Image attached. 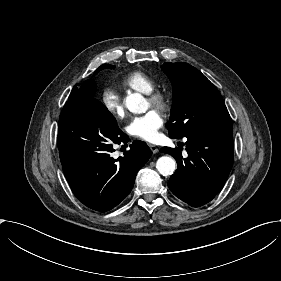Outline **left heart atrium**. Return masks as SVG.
<instances>
[{"label": "left heart atrium", "instance_id": "left-heart-atrium-1", "mask_svg": "<svg viewBox=\"0 0 281 281\" xmlns=\"http://www.w3.org/2000/svg\"><path fill=\"white\" fill-rule=\"evenodd\" d=\"M164 119L156 110H150L144 115L134 117L126 126V131L135 138L156 142L160 139V129Z\"/></svg>", "mask_w": 281, "mask_h": 281}]
</instances>
